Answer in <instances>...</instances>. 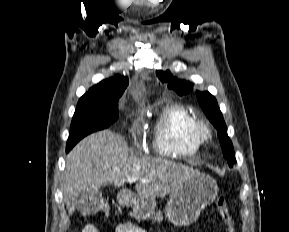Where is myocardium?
Instances as JSON below:
<instances>
[{"instance_id":"f54148a6","label":"myocardium","mask_w":289,"mask_h":232,"mask_svg":"<svg viewBox=\"0 0 289 232\" xmlns=\"http://www.w3.org/2000/svg\"><path fill=\"white\" fill-rule=\"evenodd\" d=\"M191 137L200 145L211 138L212 132L209 124L201 119H194L189 129Z\"/></svg>"}]
</instances>
